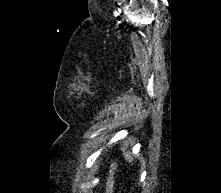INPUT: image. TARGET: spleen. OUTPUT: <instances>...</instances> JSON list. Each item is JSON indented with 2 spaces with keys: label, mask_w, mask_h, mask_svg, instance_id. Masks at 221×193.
Instances as JSON below:
<instances>
[{
  "label": "spleen",
  "mask_w": 221,
  "mask_h": 193,
  "mask_svg": "<svg viewBox=\"0 0 221 193\" xmlns=\"http://www.w3.org/2000/svg\"><path fill=\"white\" fill-rule=\"evenodd\" d=\"M122 151L125 159L128 160L129 162H132L133 159L131 158V156L128 153H126L124 149Z\"/></svg>",
  "instance_id": "3e777b00"
}]
</instances>
